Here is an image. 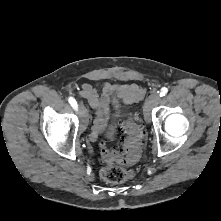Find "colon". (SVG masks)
Segmentation results:
<instances>
[{
	"label": "colon",
	"mask_w": 221,
	"mask_h": 221,
	"mask_svg": "<svg viewBox=\"0 0 221 221\" xmlns=\"http://www.w3.org/2000/svg\"><path fill=\"white\" fill-rule=\"evenodd\" d=\"M121 144L118 149L109 150L101 144L104 163L101 178L111 184L122 183L134 175L122 165H132L138 161L142 146V129L133 121L126 122L122 129Z\"/></svg>",
	"instance_id": "1"
}]
</instances>
